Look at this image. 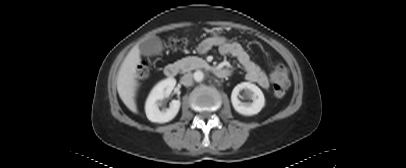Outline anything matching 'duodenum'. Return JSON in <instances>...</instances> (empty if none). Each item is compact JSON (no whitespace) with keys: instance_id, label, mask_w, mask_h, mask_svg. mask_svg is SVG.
I'll use <instances>...</instances> for the list:
<instances>
[{"instance_id":"1","label":"duodenum","mask_w":406,"mask_h":168,"mask_svg":"<svg viewBox=\"0 0 406 168\" xmlns=\"http://www.w3.org/2000/svg\"><path fill=\"white\" fill-rule=\"evenodd\" d=\"M179 70V65L172 63L165 67L164 74L168 78H173L178 74ZM213 72L220 79L227 78L230 75V71L226 69L215 68Z\"/></svg>"}]
</instances>
